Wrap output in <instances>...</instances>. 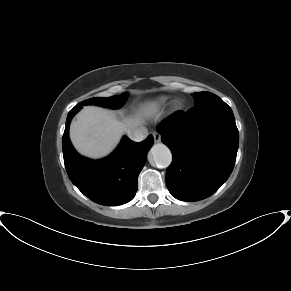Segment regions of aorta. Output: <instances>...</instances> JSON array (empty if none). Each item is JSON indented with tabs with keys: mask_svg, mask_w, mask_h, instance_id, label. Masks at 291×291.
Masks as SVG:
<instances>
[{
	"mask_svg": "<svg viewBox=\"0 0 291 291\" xmlns=\"http://www.w3.org/2000/svg\"><path fill=\"white\" fill-rule=\"evenodd\" d=\"M153 161L158 168H167L172 162L170 149L164 144H155L150 150Z\"/></svg>",
	"mask_w": 291,
	"mask_h": 291,
	"instance_id": "762f6f07",
	"label": "aorta"
}]
</instances>
